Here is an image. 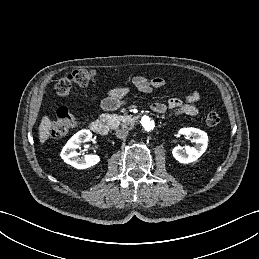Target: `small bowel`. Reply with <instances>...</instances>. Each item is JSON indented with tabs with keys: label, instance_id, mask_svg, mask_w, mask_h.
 <instances>
[{
	"label": "small bowel",
	"instance_id": "1",
	"mask_svg": "<svg viewBox=\"0 0 259 259\" xmlns=\"http://www.w3.org/2000/svg\"><path fill=\"white\" fill-rule=\"evenodd\" d=\"M132 83L140 92L153 93L164 87L166 81L159 76L149 79L143 75H136L132 78ZM128 92L129 89L126 87H117L110 90L108 95L100 101L101 108L106 111L117 109L126 102ZM199 100L200 94L193 92L184 99L172 97L167 102L155 101L151 104V109L156 113L176 109L178 114L193 116L198 113L197 102Z\"/></svg>",
	"mask_w": 259,
	"mask_h": 259
}]
</instances>
